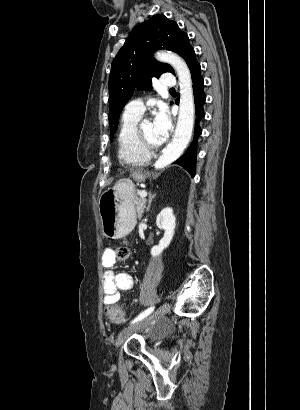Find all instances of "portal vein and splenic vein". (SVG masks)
I'll return each instance as SVG.
<instances>
[{"label": "portal vein and splenic vein", "mask_w": 300, "mask_h": 410, "mask_svg": "<svg viewBox=\"0 0 300 410\" xmlns=\"http://www.w3.org/2000/svg\"><path fill=\"white\" fill-rule=\"evenodd\" d=\"M141 198H145L147 196V192L145 190H139L137 193Z\"/></svg>", "instance_id": "1"}]
</instances>
